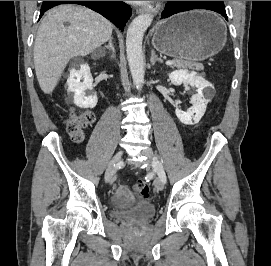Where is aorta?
I'll list each match as a JSON object with an SVG mask.
<instances>
[{
    "mask_svg": "<svg viewBox=\"0 0 271 266\" xmlns=\"http://www.w3.org/2000/svg\"><path fill=\"white\" fill-rule=\"evenodd\" d=\"M153 20L150 14L137 16L129 25L126 36L127 60L133 82L138 90L144 84V60L142 41L145 31Z\"/></svg>",
    "mask_w": 271,
    "mask_h": 266,
    "instance_id": "762f6f07",
    "label": "aorta"
}]
</instances>
